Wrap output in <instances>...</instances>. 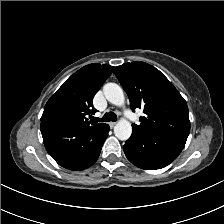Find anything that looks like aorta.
<instances>
[{
	"label": "aorta",
	"instance_id": "obj_1",
	"mask_svg": "<svg viewBox=\"0 0 224 224\" xmlns=\"http://www.w3.org/2000/svg\"><path fill=\"white\" fill-rule=\"evenodd\" d=\"M105 98L116 106H123L125 97L122 88L116 83H107L103 87ZM115 136L122 141L130 138L132 134L131 123L126 119H121L114 127Z\"/></svg>",
	"mask_w": 224,
	"mask_h": 224
}]
</instances>
